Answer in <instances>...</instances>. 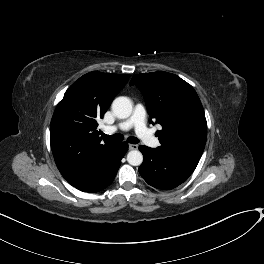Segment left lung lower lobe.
Segmentation results:
<instances>
[{
  "mask_svg": "<svg viewBox=\"0 0 264 264\" xmlns=\"http://www.w3.org/2000/svg\"><path fill=\"white\" fill-rule=\"evenodd\" d=\"M144 161L139 167V173L151 186L170 190L183 183L195 170L197 162L165 155L157 149L139 146Z\"/></svg>",
  "mask_w": 264,
  "mask_h": 264,
  "instance_id": "1",
  "label": "left lung lower lobe"
}]
</instances>
